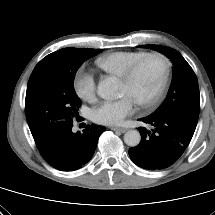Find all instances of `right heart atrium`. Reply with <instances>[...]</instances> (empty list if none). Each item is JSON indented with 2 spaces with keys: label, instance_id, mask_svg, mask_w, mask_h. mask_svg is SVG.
<instances>
[{
  "label": "right heart atrium",
  "instance_id": "right-heart-atrium-1",
  "mask_svg": "<svg viewBox=\"0 0 215 215\" xmlns=\"http://www.w3.org/2000/svg\"><path fill=\"white\" fill-rule=\"evenodd\" d=\"M74 89L81 99L92 101L96 93V83L92 73L79 71L74 79Z\"/></svg>",
  "mask_w": 215,
  "mask_h": 215
}]
</instances>
